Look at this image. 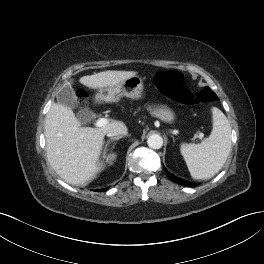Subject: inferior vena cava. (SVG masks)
<instances>
[{
  "label": "inferior vena cava",
  "mask_w": 264,
  "mask_h": 264,
  "mask_svg": "<svg viewBox=\"0 0 264 264\" xmlns=\"http://www.w3.org/2000/svg\"><path fill=\"white\" fill-rule=\"evenodd\" d=\"M108 137H113V136H120V135H127V130H114V131H109L106 134Z\"/></svg>",
  "instance_id": "inferior-vena-cava-1"
}]
</instances>
